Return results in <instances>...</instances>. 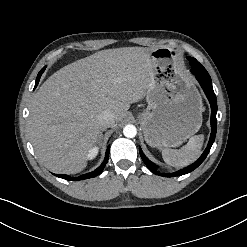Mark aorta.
<instances>
[{
	"label": "aorta",
	"mask_w": 247,
	"mask_h": 247,
	"mask_svg": "<svg viewBox=\"0 0 247 247\" xmlns=\"http://www.w3.org/2000/svg\"><path fill=\"white\" fill-rule=\"evenodd\" d=\"M123 134L127 138H133L137 134V129L134 125H126L123 129Z\"/></svg>",
	"instance_id": "obj_1"
}]
</instances>
